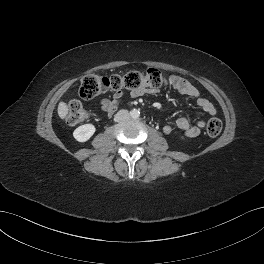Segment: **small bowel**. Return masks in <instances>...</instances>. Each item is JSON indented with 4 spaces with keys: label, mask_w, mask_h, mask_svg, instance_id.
Returning a JSON list of instances; mask_svg holds the SVG:
<instances>
[{
    "label": "small bowel",
    "mask_w": 264,
    "mask_h": 264,
    "mask_svg": "<svg viewBox=\"0 0 264 264\" xmlns=\"http://www.w3.org/2000/svg\"><path fill=\"white\" fill-rule=\"evenodd\" d=\"M169 83L180 94L194 98L196 100L197 105L205 114L210 116L216 114V109L214 105L207 98H205L194 85H192L186 79L172 75L169 78ZM148 92L149 91L146 89L132 91L131 96L139 97ZM122 97L123 93L121 91H116L112 95V98L102 99L100 101L102 111L108 116L113 115L118 109ZM176 125L183 132L185 137L195 138L200 134L201 129L205 126V121L202 118H198L195 124H191L188 118L181 117L177 120ZM172 130L173 127L171 124L167 123L163 126V132L165 134H170Z\"/></svg>",
    "instance_id": "small-bowel-1"
}]
</instances>
